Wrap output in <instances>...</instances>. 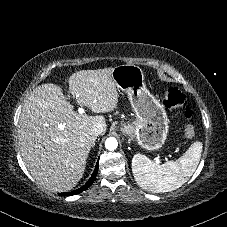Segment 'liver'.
<instances>
[{
	"mask_svg": "<svg viewBox=\"0 0 227 227\" xmlns=\"http://www.w3.org/2000/svg\"><path fill=\"white\" fill-rule=\"evenodd\" d=\"M112 71L82 70L70 76L75 102L94 113L113 111L118 92ZM96 123L106 127L101 115L75 112L57 85L42 84L31 92L19 119V144L24 164L40 186L66 192L78 184L97 138L92 133Z\"/></svg>",
	"mask_w": 227,
	"mask_h": 227,
	"instance_id": "liver-1",
	"label": "liver"
}]
</instances>
